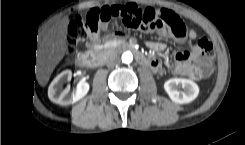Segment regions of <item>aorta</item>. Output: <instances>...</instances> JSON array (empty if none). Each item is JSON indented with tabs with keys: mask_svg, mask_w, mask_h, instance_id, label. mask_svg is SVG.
I'll list each match as a JSON object with an SVG mask.
<instances>
[{
	"mask_svg": "<svg viewBox=\"0 0 245 145\" xmlns=\"http://www.w3.org/2000/svg\"><path fill=\"white\" fill-rule=\"evenodd\" d=\"M133 60V55L131 52H125L122 54V62L125 64L131 63Z\"/></svg>",
	"mask_w": 245,
	"mask_h": 145,
	"instance_id": "762f6f07",
	"label": "aorta"
}]
</instances>
